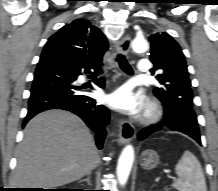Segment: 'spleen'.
<instances>
[{
    "instance_id": "spleen-1",
    "label": "spleen",
    "mask_w": 218,
    "mask_h": 191,
    "mask_svg": "<svg viewBox=\"0 0 218 191\" xmlns=\"http://www.w3.org/2000/svg\"><path fill=\"white\" fill-rule=\"evenodd\" d=\"M178 180L172 187L178 191H207L206 181L198 159L189 151H185L175 166Z\"/></svg>"
}]
</instances>
